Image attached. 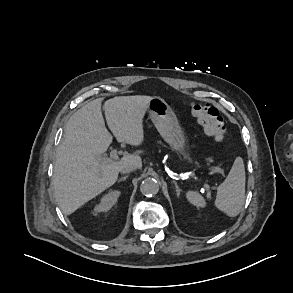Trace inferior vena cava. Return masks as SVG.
I'll list each match as a JSON object with an SVG mask.
<instances>
[{
    "label": "inferior vena cava",
    "instance_id": "602c4592",
    "mask_svg": "<svg viewBox=\"0 0 293 293\" xmlns=\"http://www.w3.org/2000/svg\"><path fill=\"white\" fill-rule=\"evenodd\" d=\"M137 169V165L134 163H127L121 166L120 168V172L125 174V173H129L132 172L133 170Z\"/></svg>",
    "mask_w": 293,
    "mask_h": 293
}]
</instances>
